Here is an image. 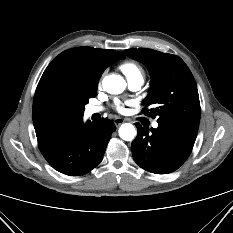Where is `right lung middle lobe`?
Wrapping results in <instances>:
<instances>
[{
    "instance_id": "dd1d6c3e",
    "label": "right lung middle lobe",
    "mask_w": 233,
    "mask_h": 233,
    "mask_svg": "<svg viewBox=\"0 0 233 233\" xmlns=\"http://www.w3.org/2000/svg\"><path fill=\"white\" fill-rule=\"evenodd\" d=\"M96 92H97V89H92V90L81 89V90H79V92L77 93V99H78V102H79L83 111L85 109L84 105L88 103L89 98H93L96 96Z\"/></svg>"
}]
</instances>
